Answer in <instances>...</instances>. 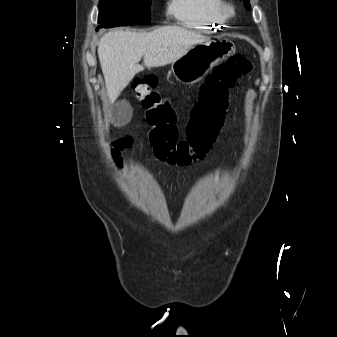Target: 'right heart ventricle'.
<instances>
[{
	"mask_svg": "<svg viewBox=\"0 0 337 337\" xmlns=\"http://www.w3.org/2000/svg\"><path fill=\"white\" fill-rule=\"evenodd\" d=\"M223 4V0H170L167 10L183 26L206 32L227 25Z\"/></svg>",
	"mask_w": 337,
	"mask_h": 337,
	"instance_id": "obj_1",
	"label": "right heart ventricle"
}]
</instances>
